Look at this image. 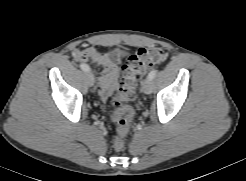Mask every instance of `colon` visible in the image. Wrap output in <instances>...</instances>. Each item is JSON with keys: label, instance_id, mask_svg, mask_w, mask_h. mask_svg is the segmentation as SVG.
<instances>
[{"label": "colon", "instance_id": "1", "mask_svg": "<svg viewBox=\"0 0 246 181\" xmlns=\"http://www.w3.org/2000/svg\"><path fill=\"white\" fill-rule=\"evenodd\" d=\"M166 58V52L157 46L143 47L130 56L123 67V79L120 89L112 97L114 106L113 119L117 124L113 146L116 150L124 148V140L129 131L134 111L124 103L136 98V88L139 80L153 65L162 63Z\"/></svg>", "mask_w": 246, "mask_h": 181}]
</instances>
